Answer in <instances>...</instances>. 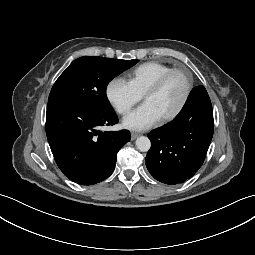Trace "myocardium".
Returning a JSON list of instances; mask_svg holds the SVG:
<instances>
[{
    "mask_svg": "<svg viewBox=\"0 0 255 255\" xmlns=\"http://www.w3.org/2000/svg\"><path fill=\"white\" fill-rule=\"evenodd\" d=\"M174 73H181L184 78H185V81H186V90H185V93H184V96L180 102V104L178 105V107L173 111L171 112L170 114L162 117V121L164 122H167V121H171L173 120L174 118H176L180 113L181 111L184 109L189 97H190V94H191V91H192V79H191V76L189 75V73L182 69V68H172L170 69L169 71L165 72L164 74H162L147 90L146 92L144 93L143 95V98L146 99L149 95L151 94H154L156 92H158L162 86L164 85V83L166 82V80Z\"/></svg>",
    "mask_w": 255,
    "mask_h": 255,
    "instance_id": "obj_1",
    "label": "myocardium"
}]
</instances>
